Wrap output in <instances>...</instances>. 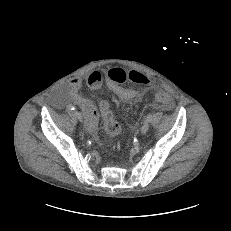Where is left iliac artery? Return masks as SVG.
<instances>
[{
  "label": "left iliac artery",
  "mask_w": 231,
  "mask_h": 231,
  "mask_svg": "<svg viewBox=\"0 0 231 231\" xmlns=\"http://www.w3.org/2000/svg\"><path fill=\"white\" fill-rule=\"evenodd\" d=\"M151 120H152V115H151V114H148V115H147V121H148V122H151Z\"/></svg>",
  "instance_id": "44dca946"
}]
</instances>
